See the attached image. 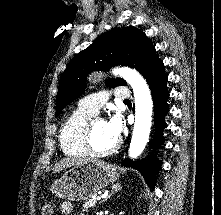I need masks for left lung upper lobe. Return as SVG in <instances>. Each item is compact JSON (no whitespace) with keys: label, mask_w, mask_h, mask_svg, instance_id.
Segmentation results:
<instances>
[{"label":"left lung upper lobe","mask_w":221,"mask_h":215,"mask_svg":"<svg viewBox=\"0 0 221 215\" xmlns=\"http://www.w3.org/2000/svg\"><path fill=\"white\" fill-rule=\"evenodd\" d=\"M160 59L147 36L137 28L114 29L99 36L88 48L72 58L59 80L56 117L65 105L78 98L92 71H106L116 65L136 68L142 75ZM110 87L126 85L123 79H108Z\"/></svg>","instance_id":"left-lung-upper-lobe-1"}]
</instances>
